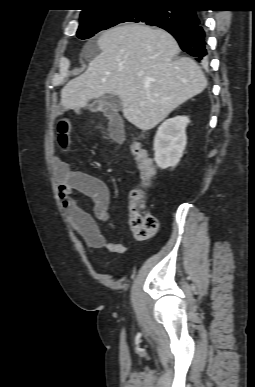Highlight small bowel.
Listing matches in <instances>:
<instances>
[{"instance_id":"small-bowel-1","label":"small bowel","mask_w":255,"mask_h":387,"mask_svg":"<svg viewBox=\"0 0 255 387\" xmlns=\"http://www.w3.org/2000/svg\"><path fill=\"white\" fill-rule=\"evenodd\" d=\"M109 131L112 139L121 144L124 140L122 123L111 120ZM71 126L66 118L57 124L55 148L67 151L70 144ZM53 168L58 181V197L65 218L77 235L90 247L104 248L114 253H125L126 247L121 243L110 241L100 230L97 220L106 222L110 219V190L105 182L85 172L70 168L60 155L55 154ZM79 192L93 201V215L78 204L73 197Z\"/></svg>"}]
</instances>
